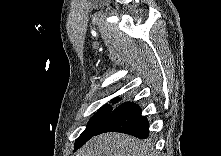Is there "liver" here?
Wrapping results in <instances>:
<instances>
[{
  "label": "liver",
  "instance_id": "liver-1",
  "mask_svg": "<svg viewBox=\"0 0 221 156\" xmlns=\"http://www.w3.org/2000/svg\"><path fill=\"white\" fill-rule=\"evenodd\" d=\"M76 156H152V148L123 133H105L88 141Z\"/></svg>",
  "mask_w": 221,
  "mask_h": 156
}]
</instances>
